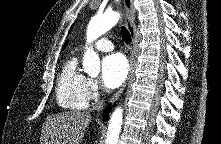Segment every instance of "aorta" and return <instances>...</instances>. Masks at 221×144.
I'll list each match as a JSON object with an SVG mask.
<instances>
[{
  "label": "aorta",
  "mask_w": 221,
  "mask_h": 144,
  "mask_svg": "<svg viewBox=\"0 0 221 144\" xmlns=\"http://www.w3.org/2000/svg\"><path fill=\"white\" fill-rule=\"evenodd\" d=\"M120 14L108 11L91 18L87 27V43H91L115 26ZM83 69L91 77H96L100 72V59L92 47H87L83 56ZM123 122V109L117 107L110 118L105 144H118Z\"/></svg>",
  "instance_id": "762f6f07"
}]
</instances>
